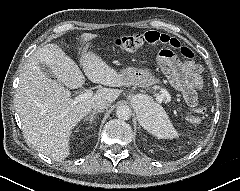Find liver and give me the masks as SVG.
I'll use <instances>...</instances> for the list:
<instances>
[{"label": "liver", "mask_w": 240, "mask_h": 191, "mask_svg": "<svg viewBox=\"0 0 240 191\" xmlns=\"http://www.w3.org/2000/svg\"><path fill=\"white\" fill-rule=\"evenodd\" d=\"M95 37L83 33L80 40L86 44ZM79 50L81 66L90 81L110 87L124 85L119 73L99 56L85 48ZM40 64L48 66L55 78L48 77ZM84 83L78 65L56 44L40 47L24 64L15 97L23 133L30 145L55 161L68 157L71 131L91 112L92 104L98 100L111 104L121 93L100 88L91 98L72 105L71 92L65 87L77 89Z\"/></svg>", "instance_id": "obj_1"}]
</instances>
